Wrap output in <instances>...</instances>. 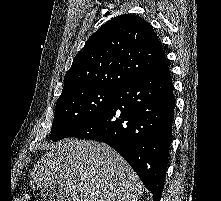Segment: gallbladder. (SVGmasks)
Returning a JSON list of instances; mask_svg holds the SVG:
<instances>
[{"mask_svg": "<svg viewBox=\"0 0 221 201\" xmlns=\"http://www.w3.org/2000/svg\"><path fill=\"white\" fill-rule=\"evenodd\" d=\"M41 196L45 201H65L68 193L64 187L57 184L47 185L41 189Z\"/></svg>", "mask_w": 221, "mask_h": 201, "instance_id": "gallbladder-1", "label": "gallbladder"}]
</instances>
